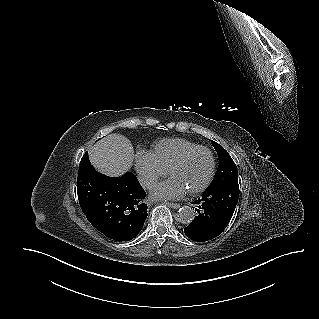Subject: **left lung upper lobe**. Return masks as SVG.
I'll return each instance as SVG.
<instances>
[{
  "mask_svg": "<svg viewBox=\"0 0 319 319\" xmlns=\"http://www.w3.org/2000/svg\"><path fill=\"white\" fill-rule=\"evenodd\" d=\"M219 157V167L212 181L211 185L207 188L213 190L228 184L238 183L237 167L228 152L218 143L211 140Z\"/></svg>",
  "mask_w": 319,
  "mask_h": 319,
  "instance_id": "obj_1",
  "label": "left lung upper lobe"
}]
</instances>
